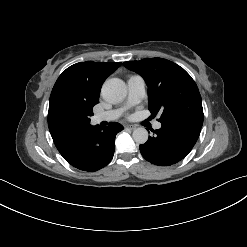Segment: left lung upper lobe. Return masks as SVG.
Listing matches in <instances>:
<instances>
[{"label": "left lung upper lobe", "mask_w": 247, "mask_h": 247, "mask_svg": "<svg viewBox=\"0 0 247 247\" xmlns=\"http://www.w3.org/2000/svg\"><path fill=\"white\" fill-rule=\"evenodd\" d=\"M124 66L143 77L148 86V107L162 123L183 122L202 127L203 108L198 87L179 65L162 58L128 61Z\"/></svg>", "instance_id": "1"}]
</instances>
